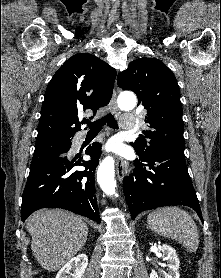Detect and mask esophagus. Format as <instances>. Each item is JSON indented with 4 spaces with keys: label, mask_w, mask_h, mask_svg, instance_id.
Segmentation results:
<instances>
[{
    "label": "esophagus",
    "mask_w": 221,
    "mask_h": 278,
    "mask_svg": "<svg viewBox=\"0 0 221 278\" xmlns=\"http://www.w3.org/2000/svg\"><path fill=\"white\" fill-rule=\"evenodd\" d=\"M116 100H117V93L114 90L111 101H110V107L114 113H118V111H119ZM116 172H117L119 181H122L125 176V163L121 157H118V159H117Z\"/></svg>",
    "instance_id": "34e87169"
}]
</instances>
